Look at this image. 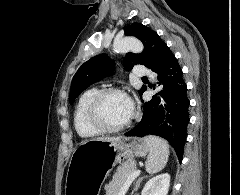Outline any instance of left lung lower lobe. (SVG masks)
I'll list each match as a JSON object with an SVG mask.
<instances>
[{"label": "left lung lower lobe", "instance_id": "1", "mask_svg": "<svg viewBox=\"0 0 240 195\" xmlns=\"http://www.w3.org/2000/svg\"><path fill=\"white\" fill-rule=\"evenodd\" d=\"M162 90L151 101L144 103L142 120L126 136L157 135L165 138L182 160L189 123L187 85L182 69L173 55L155 71Z\"/></svg>", "mask_w": 240, "mask_h": 195}]
</instances>
